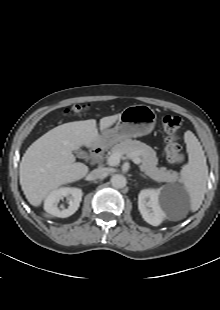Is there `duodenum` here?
<instances>
[{
	"label": "duodenum",
	"instance_id": "obj_1",
	"mask_svg": "<svg viewBox=\"0 0 220 310\" xmlns=\"http://www.w3.org/2000/svg\"><path fill=\"white\" fill-rule=\"evenodd\" d=\"M103 150H104V148L102 145H98V146H95L94 148H92L90 151L91 161L95 162V161L99 160V158L101 157V155L103 153Z\"/></svg>",
	"mask_w": 220,
	"mask_h": 310
}]
</instances>
